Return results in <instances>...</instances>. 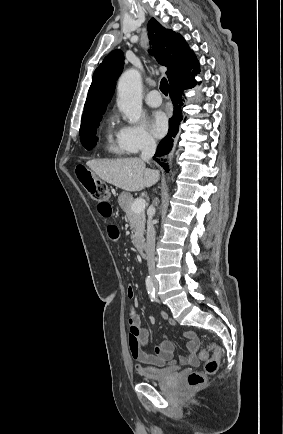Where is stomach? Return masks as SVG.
Masks as SVG:
<instances>
[{
	"label": "stomach",
	"mask_w": 283,
	"mask_h": 434,
	"mask_svg": "<svg viewBox=\"0 0 283 434\" xmlns=\"http://www.w3.org/2000/svg\"><path fill=\"white\" fill-rule=\"evenodd\" d=\"M132 202V196L128 192H122L118 197V203L121 208L126 207Z\"/></svg>",
	"instance_id": "obj_1"
}]
</instances>
